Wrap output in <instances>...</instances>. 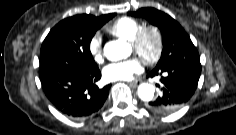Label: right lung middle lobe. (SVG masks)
Returning <instances> with one entry per match:
<instances>
[{
	"instance_id": "dd1d6c3e",
	"label": "right lung middle lobe",
	"mask_w": 236,
	"mask_h": 135,
	"mask_svg": "<svg viewBox=\"0 0 236 135\" xmlns=\"http://www.w3.org/2000/svg\"><path fill=\"white\" fill-rule=\"evenodd\" d=\"M116 14L102 19L75 15L59 22L43 41L40 52V68L65 66L71 63L85 67H97L90 52V42L98 29Z\"/></svg>"
}]
</instances>
